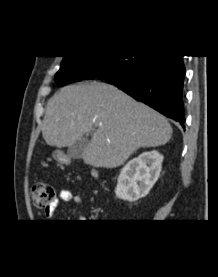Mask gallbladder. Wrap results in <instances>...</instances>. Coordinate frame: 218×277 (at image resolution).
Wrapping results in <instances>:
<instances>
[{"label":"gallbladder","instance_id":"1","mask_svg":"<svg viewBox=\"0 0 218 277\" xmlns=\"http://www.w3.org/2000/svg\"><path fill=\"white\" fill-rule=\"evenodd\" d=\"M88 144H89V139L83 136L68 148L67 150L68 156L72 159L80 158Z\"/></svg>","mask_w":218,"mask_h":277}]
</instances>
